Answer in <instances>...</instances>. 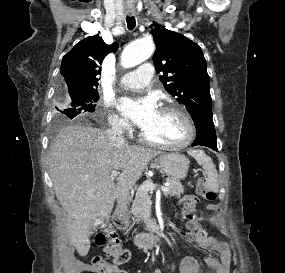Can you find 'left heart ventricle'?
I'll use <instances>...</instances> for the list:
<instances>
[{"label": "left heart ventricle", "instance_id": "b2bd125f", "mask_svg": "<svg viewBox=\"0 0 285 273\" xmlns=\"http://www.w3.org/2000/svg\"><path fill=\"white\" fill-rule=\"evenodd\" d=\"M142 130L149 139L160 143H177L186 135L185 124L176 113L160 110Z\"/></svg>", "mask_w": 285, "mask_h": 273}]
</instances>
